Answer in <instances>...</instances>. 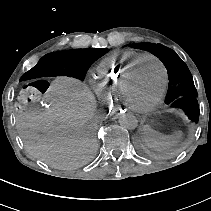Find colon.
I'll return each mask as SVG.
<instances>
[{
    "label": "colon",
    "instance_id": "obj_1",
    "mask_svg": "<svg viewBox=\"0 0 211 211\" xmlns=\"http://www.w3.org/2000/svg\"><path fill=\"white\" fill-rule=\"evenodd\" d=\"M49 82L47 80H36L25 85L18 96V103L20 106L30 104L40 100V98L49 89Z\"/></svg>",
    "mask_w": 211,
    "mask_h": 211
}]
</instances>
